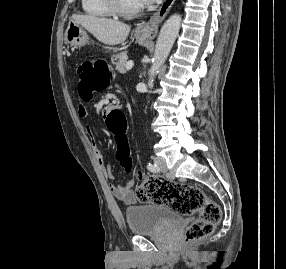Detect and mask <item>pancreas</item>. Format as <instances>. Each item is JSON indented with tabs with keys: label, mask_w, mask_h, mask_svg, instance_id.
Here are the masks:
<instances>
[{
	"label": "pancreas",
	"mask_w": 286,
	"mask_h": 269,
	"mask_svg": "<svg viewBox=\"0 0 286 269\" xmlns=\"http://www.w3.org/2000/svg\"><path fill=\"white\" fill-rule=\"evenodd\" d=\"M127 59H128L127 53L122 52L112 57L111 62L116 66V70L119 73H125L127 71L126 69Z\"/></svg>",
	"instance_id": "obj_1"
}]
</instances>
